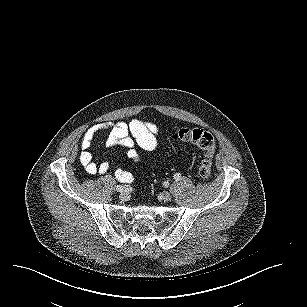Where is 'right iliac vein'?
<instances>
[{"label": "right iliac vein", "mask_w": 307, "mask_h": 307, "mask_svg": "<svg viewBox=\"0 0 307 307\" xmlns=\"http://www.w3.org/2000/svg\"><path fill=\"white\" fill-rule=\"evenodd\" d=\"M119 198H120L121 201H126L128 199V192H127V190L122 191L120 193Z\"/></svg>", "instance_id": "obj_1"}]
</instances>
